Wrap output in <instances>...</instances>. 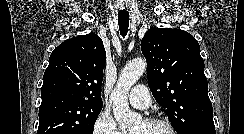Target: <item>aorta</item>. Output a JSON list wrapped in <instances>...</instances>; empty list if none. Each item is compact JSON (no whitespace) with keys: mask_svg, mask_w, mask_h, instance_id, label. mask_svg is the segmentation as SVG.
<instances>
[{"mask_svg":"<svg viewBox=\"0 0 244 134\" xmlns=\"http://www.w3.org/2000/svg\"><path fill=\"white\" fill-rule=\"evenodd\" d=\"M146 69V62L137 58L126 64L119 75L118 82L110 95L113 114L120 128H132L140 121L141 116L130 110L128 105V92L138 81Z\"/></svg>","mask_w":244,"mask_h":134,"instance_id":"aorta-1","label":"aorta"}]
</instances>
